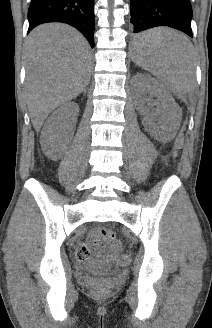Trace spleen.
<instances>
[{"mask_svg": "<svg viewBox=\"0 0 212 328\" xmlns=\"http://www.w3.org/2000/svg\"><path fill=\"white\" fill-rule=\"evenodd\" d=\"M138 39L142 45L136 48V64L159 77L175 95H185L194 89L195 64L185 36L156 28L141 33Z\"/></svg>", "mask_w": 212, "mask_h": 328, "instance_id": "1", "label": "spleen"}]
</instances>
